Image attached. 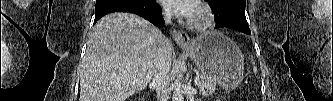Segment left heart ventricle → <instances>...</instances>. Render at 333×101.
I'll use <instances>...</instances> for the list:
<instances>
[{"label": "left heart ventricle", "mask_w": 333, "mask_h": 101, "mask_svg": "<svg viewBox=\"0 0 333 101\" xmlns=\"http://www.w3.org/2000/svg\"><path fill=\"white\" fill-rule=\"evenodd\" d=\"M198 12L196 11V9H194L193 13L191 14V17H194V18H198Z\"/></svg>", "instance_id": "b2bd125f"}]
</instances>
